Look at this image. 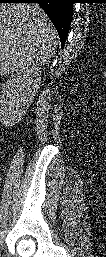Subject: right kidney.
Instances as JSON below:
<instances>
[{"mask_svg": "<svg viewBox=\"0 0 106 257\" xmlns=\"http://www.w3.org/2000/svg\"><path fill=\"white\" fill-rule=\"evenodd\" d=\"M41 81L40 68L23 67L2 84L0 105L4 123H15L31 103ZM19 116V117H18Z\"/></svg>", "mask_w": 106, "mask_h": 257, "instance_id": "right-kidney-1", "label": "right kidney"}]
</instances>
